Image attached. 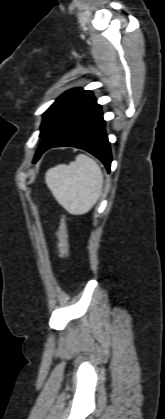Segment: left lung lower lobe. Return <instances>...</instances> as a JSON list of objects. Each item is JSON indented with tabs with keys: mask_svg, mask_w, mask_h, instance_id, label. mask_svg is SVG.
<instances>
[{
	"mask_svg": "<svg viewBox=\"0 0 165 419\" xmlns=\"http://www.w3.org/2000/svg\"><path fill=\"white\" fill-rule=\"evenodd\" d=\"M72 146L97 157L110 171L112 161L110 143L105 133L101 106L91 97L65 114L43 137L34 157L53 147Z\"/></svg>",
	"mask_w": 165,
	"mask_h": 419,
	"instance_id": "obj_1",
	"label": "left lung lower lobe"
}]
</instances>
